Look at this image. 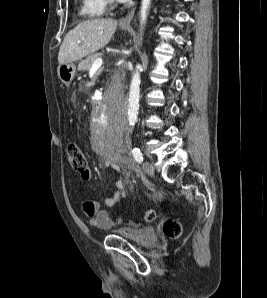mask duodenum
I'll return each instance as SVG.
<instances>
[{"instance_id":"duodenum-1","label":"duodenum","mask_w":267,"mask_h":298,"mask_svg":"<svg viewBox=\"0 0 267 298\" xmlns=\"http://www.w3.org/2000/svg\"><path fill=\"white\" fill-rule=\"evenodd\" d=\"M92 103L89 104V115H100V112H102L101 105H106V100H103V98H92Z\"/></svg>"}]
</instances>
